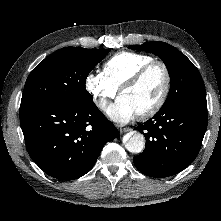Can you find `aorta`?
<instances>
[{
	"label": "aorta",
	"mask_w": 221,
	"mask_h": 221,
	"mask_svg": "<svg viewBox=\"0 0 221 221\" xmlns=\"http://www.w3.org/2000/svg\"><path fill=\"white\" fill-rule=\"evenodd\" d=\"M145 147V137L140 132L134 131L129 134L125 148L131 153H140Z\"/></svg>",
	"instance_id": "1"
}]
</instances>
